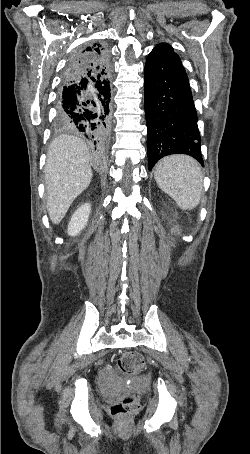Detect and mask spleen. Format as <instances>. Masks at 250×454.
<instances>
[{"mask_svg": "<svg viewBox=\"0 0 250 454\" xmlns=\"http://www.w3.org/2000/svg\"><path fill=\"white\" fill-rule=\"evenodd\" d=\"M159 188L175 200L182 210L194 209L203 188V176L197 161L185 155L163 158L155 167Z\"/></svg>", "mask_w": 250, "mask_h": 454, "instance_id": "3e777b00", "label": "spleen"}]
</instances>
